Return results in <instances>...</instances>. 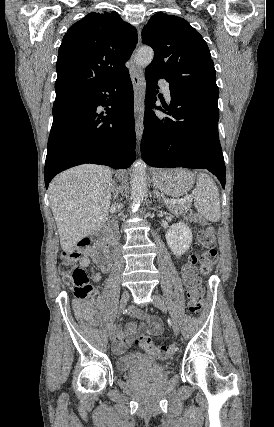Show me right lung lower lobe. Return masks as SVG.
I'll return each instance as SVG.
<instances>
[{
	"instance_id": "right-lung-lower-lobe-1",
	"label": "right lung lower lobe",
	"mask_w": 274,
	"mask_h": 427,
	"mask_svg": "<svg viewBox=\"0 0 274 427\" xmlns=\"http://www.w3.org/2000/svg\"><path fill=\"white\" fill-rule=\"evenodd\" d=\"M99 105L111 106L106 109V116ZM135 146L133 87L127 73L110 85L53 105L45 162L46 188L59 172L84 163L128 168L135 160Z\"/></svg>"
}]
</instances>
